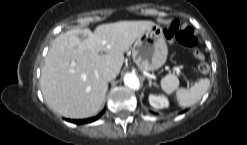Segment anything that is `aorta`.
Returning a JSON list of instances; mask_svg holds the SVG:
<instances>
[{
  "mask_svg": "<svg viewBox=\"0 0 247 145\" xmlns=\"http://www.w3.org/2000/svg\"><path fill=\"white\" fill-rule=\"evenodd\" d=\"M124 83L127 87L133 89V90H138L140 87V82L139 79L137 78L136 75L128 73L124 77Z\"/></svg>",
  "mask_w": 247,
  "mask_h": 145,
  "instance_id": "aorta-1",
  "label": "aorta"
}]
</instances>
